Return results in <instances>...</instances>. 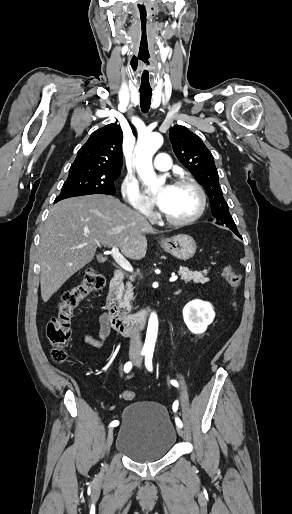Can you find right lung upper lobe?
<instances>
[{
  "label": "right lung upper lobe",
  "instance_id": "1",
  "mask_svg": "<svg viewBox=\"0 0 292 514\" xmlns=\"http://www.w3.org/2000/svg\"><path fill=\"white\" fill-rule=\"evenodd\" d=\"M122 140V130L117 124L96 130L77 152L69 173L120 174Z\"/></svg>",
  "mask_w": 292,
  "mask_h": 514
}]
</instances>
